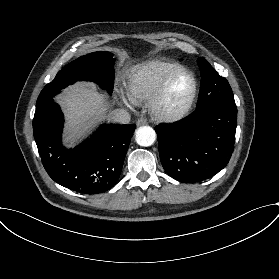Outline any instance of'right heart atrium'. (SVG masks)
Masks as SVG:
<instances>
[{"label": "right heart atrium", "instance_id": "right-heart-atrium-1", "mask_svg": "<svg viewBox=\"0 0 279 279\" xmlns=\"http://www.w3.org/2000/svg\"><path fill=\"white\" fill-rule=\"evenodd\" d=\"M114 96L119 103L131 109L138 108L142 103L140 98L131 94L122 86L115 88Z\"/></svg>", "mask_w": 279, "mask_h": 279}]
</instances>
